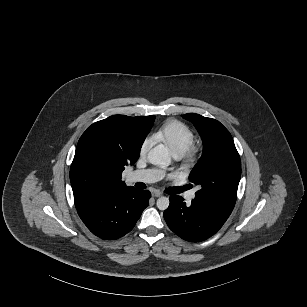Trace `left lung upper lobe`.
<instances>
[{
    "label": "left lung upper lobe",
    "mask_w": 307,
    "mask_h": 307,
    "mask_svg": "<svg viewBox=\"0 0 307 307\" xmlns=\"http://www.w3.org/2000/svg\"><path fill=\"white\" fill-rule=\"evenodd\" d=\"M201 135L203 154L192 169L189 180L199 185L195 201L229 216L237 198L241 161L228 130L217 120L188 113Z\"/></svg>",
    "instance_id": "5c2ea615"
}]
</instances>
